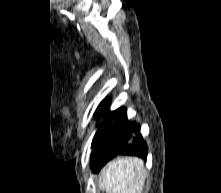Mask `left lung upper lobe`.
<instances>
[{
    "label": "left lung upper lobe",
    "mask_w": 221,
    "mask_h": 193,
    "mask_svg": "<svg viewBox=\"0 0 221 193\" xmlns=\"http://www.w3.org/2000/svg\"><path fill=\"white\" fill-rule=\"evenodd\" d=\"M109 105H110V99H106L104 101H102L97 110H96V115L100 118L101 116L105 115L106 112L108 111L109 109ZM107 124H108V117H104L102 122L100 124H98V127H97V132L93 138V141H92V146L91 147H94L95 144L98 142V140L100 139L102 133L105 131V129L107 128Z\"/></svg>",
    "instance_id": "5c2ea615"
}]
</instances>
